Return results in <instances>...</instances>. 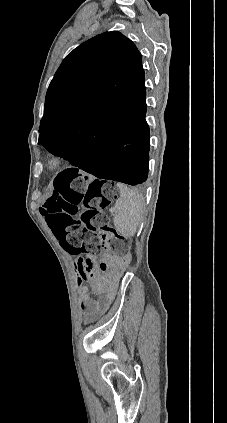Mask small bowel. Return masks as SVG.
Segmentation results:
<instances>
[{"instance_id": "c3829d8e", "label": "small bowel", "mask_w": 227, "mask_h": 423, "mask_svg": "<svg viewBox=\"0 0 227 423\" xmlns=\"http://www.w3.org/2000/svg\"><path fill=\"white\" fill-rule=\"evenodd\" d=\"M93 264V263H92ZM125 262L116 261L111 256H105L99 265L102 272L108 273L107 279L110 281L118 273L122 271L125 266ZM80 304L84 314L86 322H91L99 318L108 309L112 295L110 294L104 299L93 300L87 293V289L84 287L79 288Z\"/></svg>"}]
</instances>
